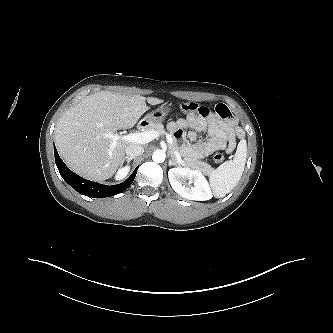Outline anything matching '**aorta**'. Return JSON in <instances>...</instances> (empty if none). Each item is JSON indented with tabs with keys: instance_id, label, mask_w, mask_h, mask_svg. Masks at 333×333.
Instances as JSON below:
<instances>
[{
	"instance_id": "obj_1",
	"label": "aorta",
	"mask_w": 333,
	"mask_h": 333,
	"mask_svg": "<svg viewBox=\"0 0 333 333\" xmlns=\"http://www.w3.org/2000/svg\"><path fill=\"white\" fill-rule=\"evenodd\" d=\"M165 157H166L165 152L161 150H156L152 155V159L156 163H162L165 160Z\"/></svg>"
}]
</instances>
